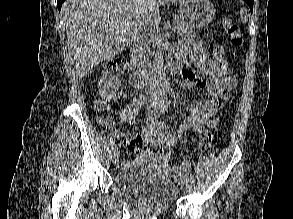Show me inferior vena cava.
Masks as SVG:
<instances>
[{
    "label": "inferior vena cava",
    "instance_id": "obj_1",
    "mask_svg": "<svg viewBox=\"0 0 293 219\" xmlns=\"http://www.w3.org/2000/svg\"><path fill=\"white\" fill-rule=\"evenodd\" d=\"M136 42L139 48V54L137 56V68L136 73L142 76L144 79H149L152 76V66L149 60V50L146 42V37L142 34H137ZM155 88L156 85L152 84Z\"/></svg>",
    "mask_w": 293,
    "mask_h": 219
}]
</instances>
